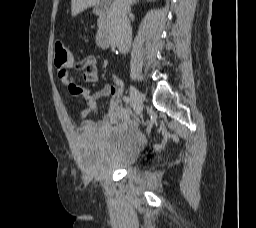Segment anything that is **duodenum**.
<instances>
[{"mask_svg":"<svg viewBox=\"0 0 256 228\" xmlns=\"http://www.w3.org/2000/svg\"><path fill=\"white\" fill-rule=\"evenodd\" d=\"M94 13L100 19V27L96 36L97 44L102 48H109L113 43L110 0L97 3L94 6Z\"/></svg>","mask_w":256,"mask_h":228,"instance_id":"410a0bca","label":"duodenum"}]
</instances>
